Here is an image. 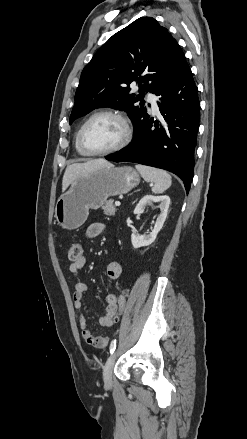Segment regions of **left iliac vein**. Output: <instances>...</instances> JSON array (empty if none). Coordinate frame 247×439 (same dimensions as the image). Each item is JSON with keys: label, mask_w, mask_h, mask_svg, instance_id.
Listing matches in <instances>:
<instances>
[{"label": "left iliac vein", "mask_w": 247, "mask_h": 439, "mask_svg": "<svg viewBox=\"0 0 247 439\" xmlns=\"http://www.w3.org/2000/svg\"><path fill=\"white\" fill-rule=\"evenodd\" d=\"M117 352L113 353L107 360L103 370V380L106 386L111 385L112 371L116 361Z\"/></svg>", "instance_id": "1"}]
</instances>
